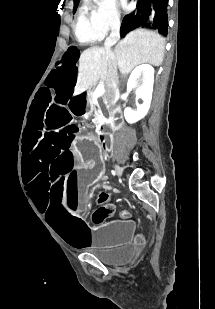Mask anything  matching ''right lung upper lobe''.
<instances>
[{
  "label": "right lung upper lobe",
  "mask_w": 215,
  "mask_h": 309,
  "mask_svg": "<svg viewBox=\"0 0 215 309\" xmlns=\"http://www.w3.org/2000/svg\"><path fill=\"white\" fill-rule=\"evenodd\" d=\"M78 2V0H74V3H77Z\"/></svg>",
  "instance_id": "cb5924a9"
}]
</instances>
